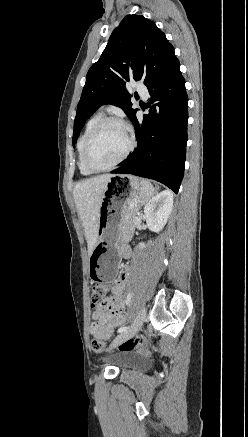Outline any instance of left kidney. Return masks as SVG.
I'll return each instance as SVG.
<instances>
[{"label":"left kidney","instance_id":"obj_1","mask_svg":"<svg viewBox=\"0 0 248 437\" xmlns=\"http://www.w3.org/2000/svg\"><path fill=\"white\" fill-rule=\"evenodd\" d=\"M173 207V194L164 190L153 196L144 207V215L148 228L153 232H159L166 224ZM139 247L143 249L144 243Z\"/></svg>","mask_w":248,"mask_h":437}]
</instances>
